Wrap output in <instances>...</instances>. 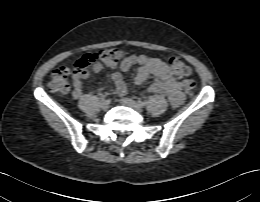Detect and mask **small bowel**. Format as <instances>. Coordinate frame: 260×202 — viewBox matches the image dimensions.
I'll list each match as a JSON object with an SVG mask.
<instances>
[{
  "instance_id": "1",
  "label": "small bowel",
  "mask_w": 260,
  "mask_h": 202,
  "mask_svg": "<svg viewBox=\"0 0 260 202\" xmlns=\"http://www.w3.org/2000/svg\"><path fill=\"white\" fill-rule=\"evenodd\" d=\"M138 65L134 78L137 85L144 83L149 77L153 76L154 81L149 85L147 92L165 95L170 103L177 107L183 101L182 84L178 82L171 73L168 65L160 58L149 57L146 55H127L119 65V69L114 71L111 79L115 85L116 93L119 97L127 94V85L123 79V73L129 71L133 66ZM102 69L100 64L92 68V72ZM90 75V71H83L73 76V96L79 98L83 90V81ZM102 87L99 88L101 90Z\"/></svg>"
}]
</instances>
